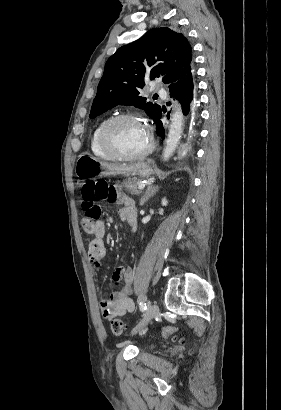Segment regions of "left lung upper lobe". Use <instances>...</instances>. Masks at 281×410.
Wrapping results in <instances>:
<instances>
[{
  "label": "left lung upper lobe",
  "instance_id": "left-lung-upper-lobe-1",
  "mask_svg": "<svg viewBox=\"0 0 281 410\" xmlns=\"http://www.w3.org/2000/svg\"><path fill=\"white\" fill-rule=\"evenodd\" d=\"M191 71V46L187 38L167 27L151 29L108 59L89 118L122 104L145 110L154 121L161 107L140 96L144 79L162 78L171 86Z\"/></svg>",
  "mask_w": 281,
  "mask_h": 410
}]
</instances>
